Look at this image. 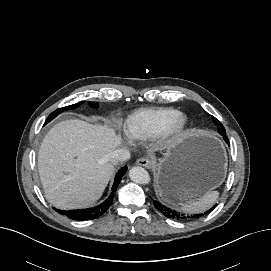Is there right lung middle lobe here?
Here are the masks:
<instances>
[{"label":"right lung middle lobe","instance_id":"1","mask_svg":"<svg viewBox=\"0 0 271 271\" xmlns=\"http://www.w3.org/2000/svg\"><path fill=\"white\" fill-rule=\"evenodd\" d=\"M80 104H82V102L67 106V107H63L60 109L55 110L54 112H52L49 117L47 118L46 123L50 122L51 120H53L55 117H57L61 112L65 111V110H69V109H75L76 107H78ZM91 107H97L98 103L96 102H90L89 103Z\"/></svg>","mask_w":271,"mask_h":271}]
</instances>
